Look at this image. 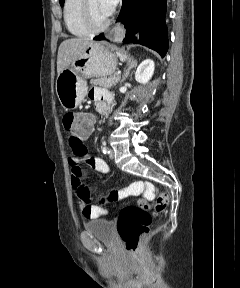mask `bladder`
<instances>
[{
    "label": "bladder",
    "mask_w": 240,
    "mask_h": 288,
    "mask_svg": "<svg viewBox=\"0 0 240 288\" xmlns=\"http://www.w3.org/2000/svg\"><path fill=\"white\" fill-rule=\"evenodd\" d=\"M87 232L106 243L115 241V225L113 221L106 219H97L84 224Z\"/></svg>",
    "instance_id": "1"
}]
</instances>
